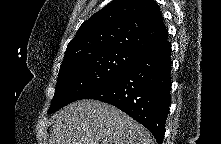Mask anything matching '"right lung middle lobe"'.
<instances>
[{
	"mask_svg": "<svg viewBox=\"0 0 221 144\" xmlns=\"http://www.w3.org/2000/svg\"><path fill=\"white\" fill-rule=\"evenodd\" d=\"M138 56L122 50L89 55L60 67L48 113H53L113 79Z\"/></svg>",
	"mask_w": 221,
	"mask_h": 144,
	"instance_id": "dd1d6c3e",
	"label": "right lung middle lobe"
}]
</instances>
